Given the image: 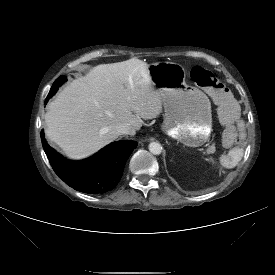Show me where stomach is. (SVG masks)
Returning <instances> with one entry per match:
<instances>
[{
  "mask_svg": "<svg viewBox=\"0 0 275 275\" xmlns=\"http://www.w3.org/2000/svg\"><path fill=\"white\" fill-rule=\"evenodd\" d=\"M148 73L165 112L162 131L186 146L203 145L212 132L206 94L186 83V71L178 63L157 62L148 66Z\"/></svg>",
  "mask_w": 275,
  "mask_h": 275,
  "instance_id": "obj_1",
  "label": "stomach"
}]
</instances>
